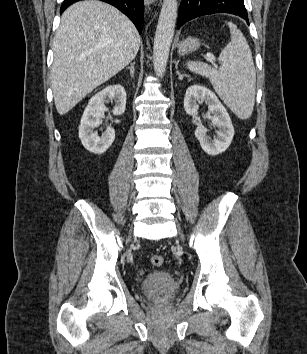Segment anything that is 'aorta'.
<instances>
[{"label": "aorta", "instance_id": "aorta-1", "mask_svg": "<svg viewBox=\"0 0 307 354\" xmlns=\"http://www.w3.org/2000/svg\"><path fill=\"white\" fill-rule=\"evenodd\" d=\"M177 0H164L156 28L153 46V65L158 77H163L172 44L177 19Z\"/></svg>", "mask_w": 307, "mask_h": 354}]
</instances>
